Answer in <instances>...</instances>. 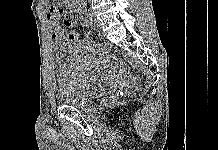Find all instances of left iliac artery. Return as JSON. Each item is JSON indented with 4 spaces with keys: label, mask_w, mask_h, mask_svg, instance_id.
<instances>
[{
    "label": "left iliac artery",
    "mask_w": 218,
    "mask_h": 150,
    "mask_svg": "<svg viewBox=\"0 0 218 150\" xmlns=\"http://www.w3.org/2000/svg\"><path fill=\"white\" fill-rule=\"evenodd\" d=\"M82 18L84 19V24L88 27L90 25L89 20H85L87 18L85 15Z\"/></svg>",
    "instance_id": "1"
}]
</instances>
